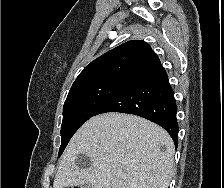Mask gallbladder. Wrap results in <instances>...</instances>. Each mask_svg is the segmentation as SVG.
<instances>
[{"mask_svg": "<svg viewBox=\"0 0 224 188\" xmlns=\"http://www.w3.org/2000/svg\"><path fill=\"white\" fill-rule=\"evenodd\" d=\"M80 188H91V186L89 184H83L80 186Z\"/></svg>", "mask_w": 224, "mask_h": 188, "instance_id": "1", "label": "gallbladder"}]
</instances>
